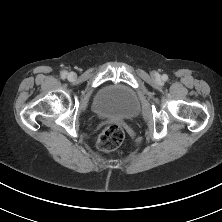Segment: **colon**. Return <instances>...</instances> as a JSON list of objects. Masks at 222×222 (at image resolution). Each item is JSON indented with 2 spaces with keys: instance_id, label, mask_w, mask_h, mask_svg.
Listing matches in <instances>:
<instances>
[{
  "instance_id": "5ec220e1",
  "label": "colon",
  "mask_w": 222,
  "mask_h": 222,
  "mask_svg": "<svg viewBox=\"0 0 222 222\" xmlns=\"http://www.w3.org/2000/svg\"><path fill=\"white\" fill-rule=\"evenodd\" d=\"M125 138V132L121 125L110 124L108 125L98 139L99 149L110 152L117 149Z\"/></svg>"
}]
</instances>
